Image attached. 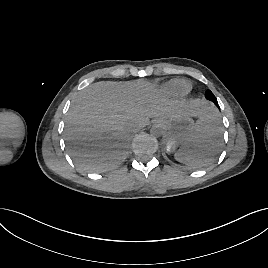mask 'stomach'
Returning <instances> with one entry per match:
<instances>
[{
    "label": "stomach",
    "instance_id": "1",
    "mask_svg": "<svg viewBox=\"0 0 268 268\" xmlns=\"http://www.w3.org/2000/svg\"><path fill=\"white\" fill-rule=\"evenodd\" d=\"M155 123L163 130L170 147H183L195 129L191 115L183 113L171 118H159Z\"/></svg>",
    "mask_w": 268,
    "mask_h": 268
}]
</instances>
